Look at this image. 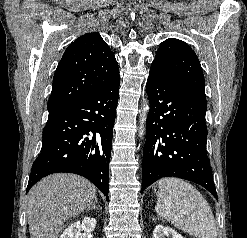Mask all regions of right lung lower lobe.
Wrapping results in <instances>:
<instances>
[{"label": "right lung lower lobe", "mask_w": 247, "mask_h": 238, "mask_svg": "<svg viewBox=\"0 0 247 238\" xmlns=\"http://www.w3.org/2000/svg\"><path fill=\"white\" fill-rule=\"evenodd\" d=\"M119 85L118 74L81 100L49 115L42 149L32 165L26 193L41 178L68 172L88 178L108 200Z\"/></svg>", "instance_id": "right-lung-lower-lobe-1"}]
</instances>
